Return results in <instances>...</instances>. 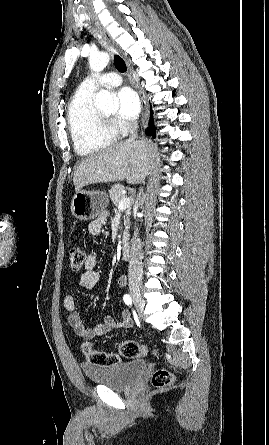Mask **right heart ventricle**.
<instances>
[{
  "mask_svg": "<svg viewBox=\"0 0 269 445\" xmlns=\"http://www.w3.org/2000/svg\"><path fill=\"white\" fill-rule=\"evenodd\" d=\"M95 91L79 87L67 110L68 129L75 152L88 157L105 149L116 140V133L105 123L93 106Z\"/></svg>",
  "mask_w": 269,
  "mask_h": 445,
  "instance_id": "1",
  "label": "right heart ventricle"
}]
</instances>
